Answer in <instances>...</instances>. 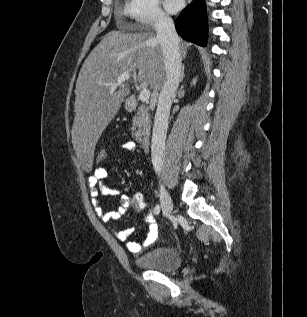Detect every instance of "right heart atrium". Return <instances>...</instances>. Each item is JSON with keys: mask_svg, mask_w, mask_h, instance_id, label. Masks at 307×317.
<instances>
[{"mask_svg": "<svg viewBox=\"0 0 307 317\" xmlns=\"http://www.w3.org/2000/svg\"><path fill=\"white\" fill-rule=\"evenodd\" d=\"M126 13L141 25L157 27L169 22L159 0H128Z\"/></svg>", "mask_w": 307, "mask_h": 317, "instance_id": "right-heart-atrium-1", "label": "right heart atrium"}]
</instances>
